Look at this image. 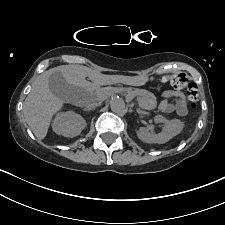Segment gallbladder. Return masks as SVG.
<instances>
[{"instance_id":"obj_1","label":"gallbladder","mask_w":225,"mask_h":225,"mask_svg":"<svg viewBox=\"0 0 225 225\" xmlns=\"http://www.w3.org/2000/svg\"><path fill=\"white\" fill-rule=\"evenodd\" d=\"M48 84L51 92L64 102H75L83 92L81 88L70 85L64 76L56 71L50 74Z\"/></svg>"}]
</instances>
